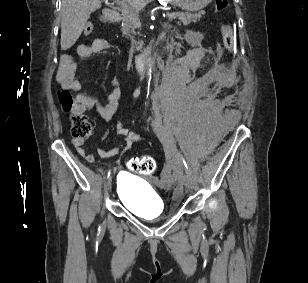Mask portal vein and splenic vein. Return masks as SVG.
Returning a JSON list of instances; mask_svg holds the SVG:
<instances>
[{
    "instance_id": "obj_1",
    "label": "portal vein and splenic vein",
    "mask_w": 308,
    "mask_h": 283,
    "mask_svg": "<svg viewBox=\"0 0 308 283\" xmlns=\"http://www.w3.org/2000/svg\"><path fill=\"white\" fill-rule=\"evenodd\" d=\"M128 2L127 0H116L115 3H117L123 10H132L135 11L137 10V7L134 4L131 3H126ZM180 13H175V12H167L166 15L169 18H175V16L179 15Z\"/></svg>"
}]
</instances>
